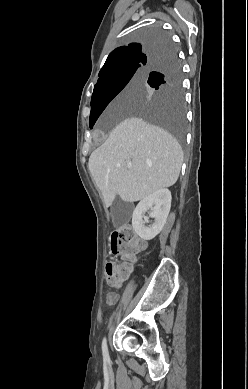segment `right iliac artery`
Here are the masks:
<instances>
[{
  "label": "right iliac artery",
  "mask_w": 248,
  "mask_h": 389,
  "mask_svg": "<svg viewBox=\"0 0 248 389\" xmlns=\"http://www.w3.org/2000/svg\"><path fill=\"white\" fill-rule=\"evenodd\" d=\"M102 352H103V359H104V362H109L110 358H109V354H108V348H107V343H106V339L104 338L103 339V342H102Z\"/></svg>",
  "instance_id": "82829eb1"
}]
</instances>
